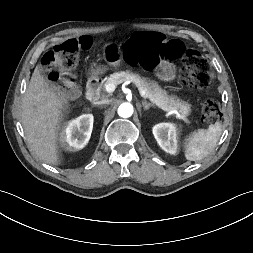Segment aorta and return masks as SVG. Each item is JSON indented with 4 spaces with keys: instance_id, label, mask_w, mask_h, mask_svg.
Segmentation results:
<instances>
[{
    "instance_id": "obj_1",
    "label": "aorta",
    "mask_w": 253,
    "mask_h": 253,
    "mask_svg": "<svg viewBox=\"0 0 253 253\" xmlns=\"http://www.w3.org/2000/svg\"><path fill=\"white\" fill-rule=\"evenodd\" d=\"M133 114V106L130 103H122L118 108V115L123 118L131 117Z\"/></svg>"
}]
</instances>
